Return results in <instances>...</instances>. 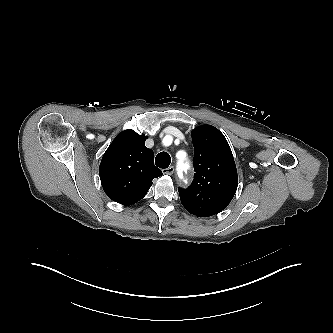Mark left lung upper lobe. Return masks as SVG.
<instances>
[{
  "label": "left lung upper lobe",
  "mask_w": 333,
  "mask_h": 333,
  "mask_svg": "<svg viewBox=\"0 0 333 333\" xmlns=\"http://www.w3.org/2000/svg\"><path fill=\"white\" fill-rule=\"evenodd\" d=\"M194 180L179 188L180 200L196 216H211L225 209L238 186V176L230 146L224 135L211 125L192 131Z\"/></svg>",
  "instance_id": "5c2ea615"
}]
</instances>
